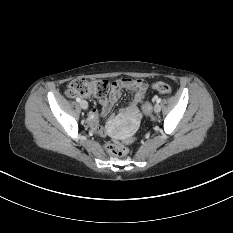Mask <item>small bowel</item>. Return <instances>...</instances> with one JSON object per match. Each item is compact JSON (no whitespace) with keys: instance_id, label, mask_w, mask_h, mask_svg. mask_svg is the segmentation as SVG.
<instances>
[{"instance_id":"small-bowel-1","label":"small bowel","mask_w":233,"mask_h":233,"mask_svg":"<svg viewBox=\"0 0 233 233\" xmlns=\"http://www.w3.org/2000/svg\"><path fill=\"white\" fill-rule=\"evenodd\" d=\"M147 87V83L142 79L121 77L113 81L109 86L108 97L101 100V111L99 112L98 109L93 108L88 116L89 122L96 130L103 132L99 125V119L111 111L124 89L133 92L134 98L131 104L122 110V113L128 115L132 121L138 120L141 116L140 104L144 99Z\"/></svg>"}]
</instances>
